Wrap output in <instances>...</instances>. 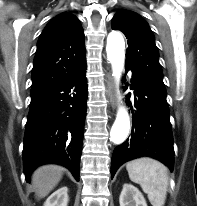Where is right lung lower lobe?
<instances>
[{
    "label": "right lung lower lobe",
    "instance_id": "1",
    "mask_svg": "<svg viewBox=\"0 0 197 206\" xmlns=\"http://www.w3.org/2000/svg\"><path fill=\"white\" fill-rule=\"evenodd\" d=\"M86 63L61 83L31 100L23 148L26 179L39 165L57 163L79 180L87 101Z\"/></svg>",
    "mask_w": 197,
    "mask_h": 206
}]
</instances>
